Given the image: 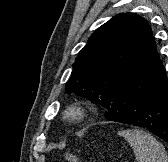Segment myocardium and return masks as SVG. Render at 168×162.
I'll use <instances>...</instances> for the list:
<instances>
[{
    "label": "myocardium",
    "mask_w": 168,
    "mask_h": 162,
    "mask_svg": "<svg viewBox=\"0 0 168 162\" xmlns=\"http://www.w3.org/2000/svg\"><path fill=\"white\" fill-rule=\"evenodd\" d=\"M88 114V110L81 104L74 103L64 111V118L69 123H78Z\"/></svg>",
    "instance_id": "f54148a6"
}]
</instances>
